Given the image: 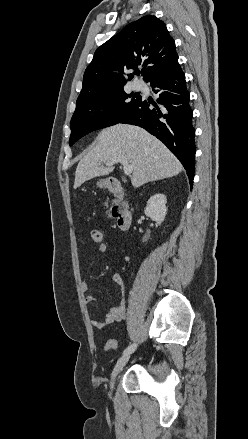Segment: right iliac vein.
Returning a JSON list of instances; mask_svg holds the SVG:
<instances>
[{"label":"right iliac vein","instance_id":"63e3f726","mask_svg":"<svg viewBox=\"0 0 248 439\" xmlns=\"http://www.w3.org/2000/svg\"><path fill=\"white\" fill-rule=\"evenodd\" d=\"M129 359H130V353H126L118 359V361L115 364L114 369L111 373V381H110L111 389H113V387H114V381H115L116 376L122 371V369L127 364Z\"/></svg>","mask_w":248,"mask_h":439}]
</instances>
